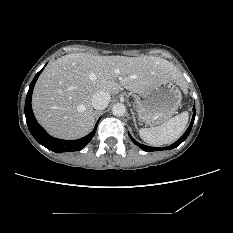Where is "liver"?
<instances>
[{
  "mask_svg": "<svg viewBox=\"0 0 233 233\" xmlns=\"http://www.w3.org/2000/svg\"><path fill=\"white\" fill-rule=\"evenodd\" d=\"M169 81L183 85L179 70L163 58L72 53L53 61L42 72L32 107L38 122L51 135L78 139L94 126L91 101L97 91L114 95L123 87L142 94Z\"/></svg>",
  "mask_w": 233,
  "mask_h": 233,
  "instance_id": "obj_1",
  "label": "liver"
}]
</instances>
